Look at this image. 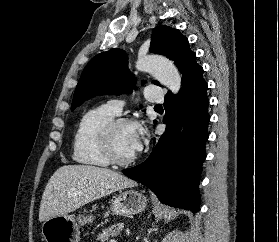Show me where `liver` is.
<instances>
[{"label": "liver", "mask_w": 279, "mask_h": 242, "mask_svg": "<svg viewBox=\"0 0 279 242\" xmlns=\"http://www.w3.org/2000/svg\"><path fill=\"white\" fill-rule=\"evenodd\" d=\"M135 185V182L110 169L88 165L62 166L45 187L39 220L67 215L89 202Z\"/></svg>", "instance_id": "1"}]
</instances>
